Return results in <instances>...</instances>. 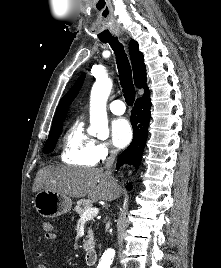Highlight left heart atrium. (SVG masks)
<instances>
[{"label": "left heart atrium", "mask_w": 221, "mask_h": 268, "mask_svg": "<svg viewBox=\"0 0 221 268\" xmlns=\"http://www.w3.org/2000/svg\"><path fill=\"white\" fill-rule=\"evenodd\" d=\"M111 136L113 144L118 148L127 146L132 140V129L125 118H118L111 125Z\"/></svg>", "instance_id": "1"}]
</instances>
